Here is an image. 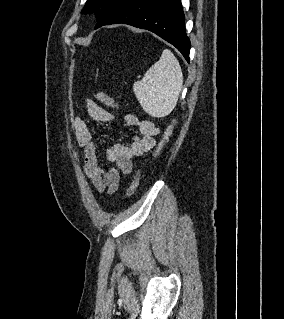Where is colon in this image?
<instances>
[{
    "instance_id": "5ec220e1",
    "label": "colon",
    "mask_w": 284,
    "mask_h": 319,
    "mask_svg": "<svg viewBox=\"0 0 284 319\" xmlns=\"http://www.w3.org/2000/svg\"><path fill=\"white\" fill-rule=\"evenodd\" d=\"M96 98L103 103L104 105L108 106V107H112V108H119L120 105L117 103V101L111 97L109 94H107L106 92L100 91L97 92L96 94ZM173 128H174V122L172 121L165 129L162 139L160 141V143L158 144L157 148L154 150V155L159 154L160 151L164 148V146L168 143L171 134L173 132ZM140 181V173L139 171H136L133 175V178L131 180V183L126 191L125 197H130L134 194V192L136 191L138 184Z\"/></svg>"
}]
</instances>
